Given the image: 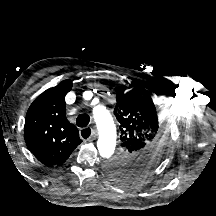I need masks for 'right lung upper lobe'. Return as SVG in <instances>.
Returning <instances> with one entry per match:
<instances>
[{
	"label": "right lung upper lobe",
	"instance_id": "obj_1",
	"mask_svg": "<svg viewBox=\"0 0 216 216\" xmlns=\"http://www.w3.org/2000/svg\"><path fill=\"white\" fill-rule=\"evenodd\" d=\"M72 82L64 80L44 91L29 107L24 138L29 150L47 166L61 165L82 142L75 125L66 118L65 96Z\"/></svg>",
	"mask_w": 216,
	"mask_h": 216
}]
</instances>
